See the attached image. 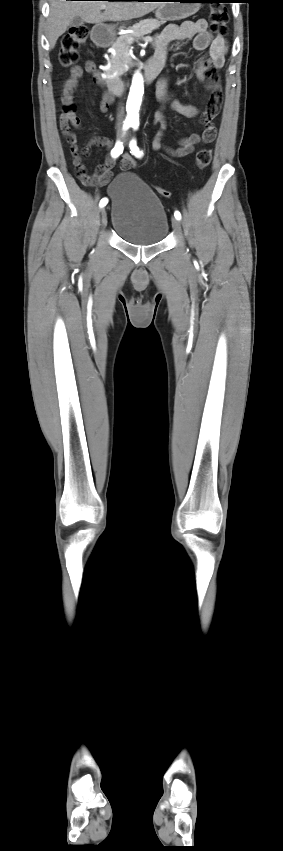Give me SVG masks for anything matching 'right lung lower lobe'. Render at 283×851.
Segmentation results:
<instances>
[{"label":"right lung lower lobe","mask_w":283,"mask_h":851,"mask_svg":"<svg viewBox=\"0 0 283 851\" xmlns=\"http://www.w3.org/2000/svg\"><path fill=\"white\" fill-rule=\"evenodd\" d=\"M117 1H148V0H117Z\"/></svg>","instance_id":"right-lung-lower-lobe-1"}]
</instances>
